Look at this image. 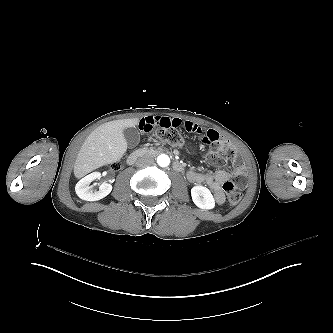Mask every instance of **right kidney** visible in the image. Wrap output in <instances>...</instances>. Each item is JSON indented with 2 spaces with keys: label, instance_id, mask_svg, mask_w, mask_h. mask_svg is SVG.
<instances>
[{
  "label": "right kidney",
  "instance_id": "obj_1",
  "mask_svg": "<svg viewBox=\"0 0 333 333\" xmlns=\"http://www.w3.org/2000/svg\"><path fill=\"white\" fill-rule=\"evenodd\" d=\"M101 177L102 173L96 171L81 179L75 187L77 196L85 201H98L108 196L113 189L110 183H102L98 190L93 189L94 186L91 185Z\"/></svg>",
  "mask_w": 333,
  "mask_h": 333
}]
</instances>
